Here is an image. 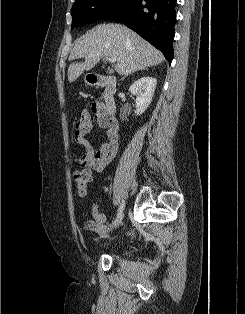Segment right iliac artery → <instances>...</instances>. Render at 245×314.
Listing matches in <instances>:
<instances>
[{"label":"right iliac artery","instance_id":"right-iliac-artery-1","mask_svg":"<svg viewBox=\"0 0 245 314\" xmlns=\"http://www.w3.org/2000/svg\"><path fill=\"white\" fill-rule=\"evenodd\" d=\"M124 209V202L120 205V207H119V209H118V213L121 211V210H123ZM117 213V214H118ZM116 222V219H115V221L113 222V224Z\"/></svg>","mask_w":245,"mask_h":314}]
</instances>
